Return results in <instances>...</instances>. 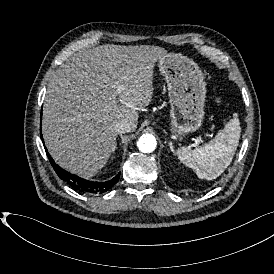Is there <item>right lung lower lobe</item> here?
I'll return each instance as SVG.
<instances>
[{"label": "right lung lower lobe", "instance_id": "98d812e1", "mask_svg": "<svg viewBox=\"0 0 274 274\" xmlns=\"http://www.w3.org/2000/svg\"><path fill=\"white\" fill-rule=\"evenodd\" d=\"M42 116V115H41ZM41 139L43 140L42 136ZM46 154L51 162V165L53 166L54 170L56 171L57 175L65 182H67L70 186L75 188L76 190H79L83 193H104L108 189L112 188L119 180L120 173H118L113 179L106 181V182H92L85 180L83 178H80L76 175H73L61 167H59L54 160L51 158L49 153L46 150Z\"/></svg>", "mask_w": 274, "mask_h": 274}]
</instances>
